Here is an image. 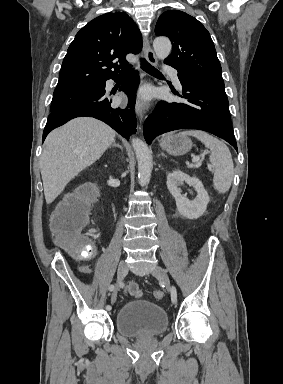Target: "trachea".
<instances>
[{
  "label": "trachea",
  "mask_w": 283,
  "mask_h": 384,
  "mask_svg": "<svg viewBox=\"0 0 283 384\" xmlns=\"http://www.w3.org/2000/svg\"><path fill=\"white\" fill-rule=\"evenodd\" d=\"M141 68L150 75H162L157 68L152 67L145 59H140Z\"/></svg>",
  "instance_id": "3493384b"
}]
</instances>
